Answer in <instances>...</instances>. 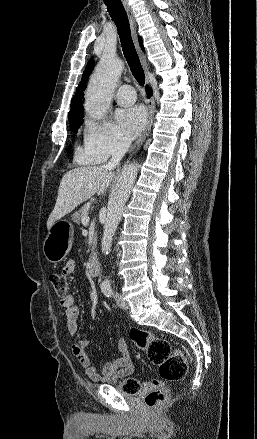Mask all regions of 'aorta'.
<instances>
[{"label":"aorta","instance_id":"obj_1","mask_svg":"<svg viewBox=\"0 0 257 439\" xmlns=\"http://www.w3.org/2000/svg\"><path fill=\"white\" fill-rule=\"evenodd\" d=\"M123 71V62L110 53H105L100 64L92 75L85 99V110L94 119L105 117L109 108L113 90ZM138 164L131 163L124 167L112 191L107 207V215L101 241L102 252L108 255L111 251L112 239L121 221L124 206L130 196L137 178ZM108 279L103 284H108Z\"/></svg>","mask_w":257,"mask_h":439}]
</instances>
